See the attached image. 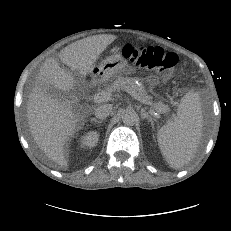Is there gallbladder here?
<instances>
[{"instance_id":"obj_1","label":"gallbladder","mask_w":231,"mask_h":231,"mask_svg":"<svg viewBox=\"0 0 231 231\" xmlns=\"http://www.w3.org/2000/svg\"><path fill=\"white\" fill-rule=\"evenodd\" d=\"M48 94L51 96V97H54V98H57V99H61L63 98L65 95L62 94V91L51 86L48 88L47 90Z\"/></svg>"}]
</instances>
